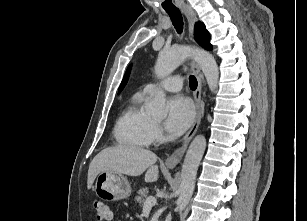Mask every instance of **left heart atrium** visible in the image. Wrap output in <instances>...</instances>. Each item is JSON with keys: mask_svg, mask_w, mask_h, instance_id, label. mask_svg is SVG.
<instances>
[{"mask_svg": "<svg viewBox=\"0 0 307 221\" xmlns=\"http://www.w3.org/2000/svg\"><path fill=\"white\" fill-rule=\"evenodd\" d=\"M193 119L194 109L187 98L176 96L169 101L165 127L171 136H179L185 132Z\"/></svg>", "mask_w": 307, "mask_h": 221, "instance_id": "1", "label": "left heart atrium"}]
</instances>
